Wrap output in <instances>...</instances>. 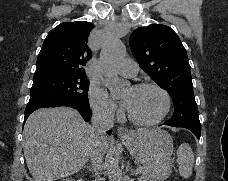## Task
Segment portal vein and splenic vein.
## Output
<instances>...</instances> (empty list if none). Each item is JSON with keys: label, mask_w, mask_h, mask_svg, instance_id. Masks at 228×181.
<instances>
[{"label": "portal vein and splenic vein", "mask_w": 228, "mask_h": 181, "mask_svg": "<svg viewBox=\"0 0 228 181\" xmlns=\"http://www.w3.org/2000/svg\"><path fill=\"white\" fill-rule=\"evenodd\" d=\"M134 170H135V173L136 174H139L140 173V168L139 167H136Z\"/></svg>", "instance_id": "1"}]
</instances>
